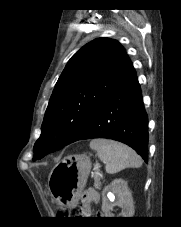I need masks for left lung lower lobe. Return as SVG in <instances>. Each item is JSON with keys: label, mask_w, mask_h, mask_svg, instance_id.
<instances>
[{"label": "left lung lower lobe", "mask_w": 181, "mask_h": 227, "mask_svg": "<svg viewBox=\"0 0 181 227\" xmlns=\"http://www.w3.org/2000/svg\"><path fill=\"white\" fill-rule=\"evenodd\" d=\"M93 138L125 143L148 161V118L134 69L102 103L78 140Z\"/></svg>", "instance_id": "0a47b994"}]
</instances>
